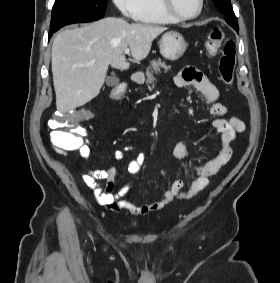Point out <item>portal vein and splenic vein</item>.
I'll list each match as a JSON object with an SVG mask.
<instances>
[{
  "label": "portal vein and splenic vein",
  "instance_id": "portal-vein-and-splenic-vein-1",
  "mask_svg": "<svg viewBox=\"0 0 280 283\" xmlns=\"http://www.w3.org/2000/svg\"><path fill=\"white\" fill-rule=\"evenodd\" d=\"M129 52H130L129 48H126L125 51H124L125 54H129Z\"/></svg>",
  "mask_w": 280,
  "mask_h": 283
}]
</instances>
